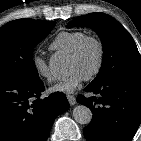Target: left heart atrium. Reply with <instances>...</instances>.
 Returning a JSON list of instances; mask_svg holds the SVG:
<instances>
[{
    "label": "left heart atrium",
    "instance_id": "obj_1",
    "mask_svg": "<svg viewBox=\"0 0 141 141\" xmlns=\"http://www.w3.org/2000/svg\"><path fill=\"white\" fill-rule=\"evenodd\" d=\"M84 79L85 77L78 71H72L65 79L56 83L51 88V91L61 93H72L81 85Z\"/></svg>",
    "mask_w": 141,
    "mask_h": 141
}]
</instances>
